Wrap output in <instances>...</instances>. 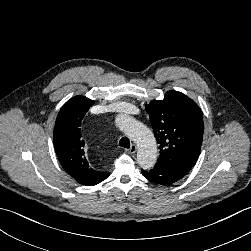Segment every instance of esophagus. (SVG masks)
Returning a JSON list of instances; mask_svg holds the SVG:
<instances>
[{"mask_svg":"<svg viewBox=\"0 0 251 251\" xmlns=\"http://www.w3.org/2000/svg\"><path fill=\"white\" fill-rule=\"evenodd\" d=\"M137 151V146L135 144H132L129 149H126L127 153L134 154Z\"/></svg>","mask_w":251,"mask_h":251,"instance_id":"obj_1","label":"esophagus"}]
</instances>
